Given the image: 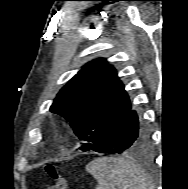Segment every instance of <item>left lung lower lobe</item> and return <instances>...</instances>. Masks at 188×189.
I'll list each match as a JSON object with an SVG mask.
<instances>
[{
  "mask_svg": "<svg viewBox=\"0 0 188 189\" xmlns=\"http://www.w3.org/2000/svg\"><path fill=\"white\" fill-rule=\"evenodd\" d=\"M149 132L140 124L136 111L130 110L93 148L100 153H122L149 141Z\"/></svg>",
  "mask_w": 188,
  "mask_h": 189,
  "instance_id": "obj_1",
  "label": "left lung lower lobe"
}]
</instances>
